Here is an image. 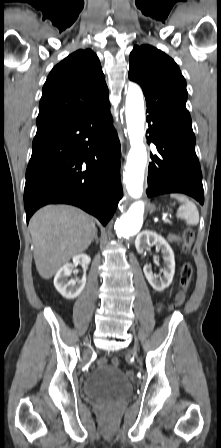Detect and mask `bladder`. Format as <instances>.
Returning a JSON list of instances; mask_svg holds the SVG:
<instances>
[{"label":"bladder","instance_id":"bladder-1","mask_svg":"<svg viewBox=\"0 0 221 448\" xmlns=\"http://www.w3.org/2000/svg\"><path fill=\"white\" fill-rule=\"evenodd\" d=\"M83 389L95 400L120 401L131 395L132 383L121 369L100 366L86 376Z\"/></svg>","mask_w":221,"mask_h":448}]
</instances>
